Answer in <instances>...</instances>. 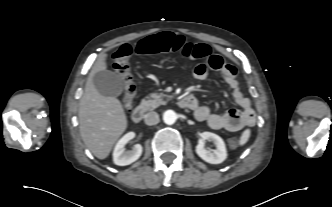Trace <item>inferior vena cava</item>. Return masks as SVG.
Returning <instances> with one entry per match:
<instances>
[{
    "mask_svg": "<svg viewBox=\"0 0 332 207\" xmlns=\"http://www.w3.org/2000/svg\"><path fill=\"white\" fill-rule=\"evenodd\" d=\"M158 119H159L158 113H156V112H149L145 116V124L149 125V126L154 125V124H156V122L158 121Z\"/></svg>",
    "mask_w": 332,
    "mask_h": 207,
    "instance_id": "602c4592",
    "label": "inferior vena cava"
}]
</instances>
